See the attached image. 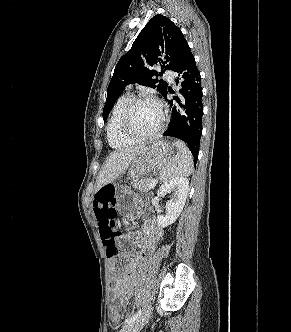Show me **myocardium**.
I'll return each instance as SVG.
<instances>
[{"label": "myocardium", "mask_w": 291, "mask_h": 332, "mask_svg": "<svg viewBox=\"0 0 291 332\" xmlns=\"http://www.w3.org/2000/svg\"><path fill=\"white\" fill-rule=\"evenodd\" d=\"M153 102L155 103L158 108L160 109V113H161V123L160 126L158 127V129L148 135H140L137 134L136 132L133 131L132 126H131V122H132V115L133 112L135 110V108L137 107V105H139L142 102ZM167 125V116H166V109L164 104L157 98L150 96V95H140L137 97H134L127 105V107L125 108V111L123 113L122 116V120H121V129L123 134L128 137L131 140H134L136 142H142V141H148V140H152L155 139L157 137H159L163 131L165 130Z\"/></svg>", "instance_id": "f54148a6"}]
</instances>
